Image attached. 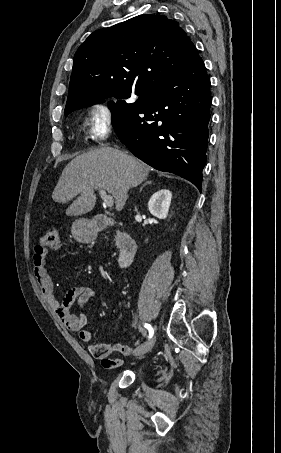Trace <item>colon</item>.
<instances>
[{
	"instance_id": "obj_1",
	"label": "colon",
	"mask_w": 281,
	"mask_h": 453,
	"mask_svg": "<svg viewBox=\"0 0 281 453\" xmlns=\"http://www.w3.org/2000/svg\"><path fill=\"white\" fill-rule=\"evenodd\" d=\"M60 228L58 226H48L45 234L42 236L40 246L38 249H47L48 256L56 253L59 250V237ZM47 256V258H48Z\"/></svg>"
}]
</instances>
